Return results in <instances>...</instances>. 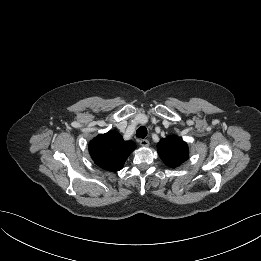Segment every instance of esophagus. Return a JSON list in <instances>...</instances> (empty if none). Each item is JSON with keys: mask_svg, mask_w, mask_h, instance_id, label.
I'll list each match as a JSON object with an SVG mask.
<instances>
[{"mask_svg": "<svg viewBox=\"0 0 261 261\" xmlns=\"http://www.w3.org/2000/svg\"><path fill=\"white\" fill-rule=\"evenodd\" d=\"M139 142V145L142 146V147H147L149 146V141L146 140V139H141L138 141Z\"/></svg>", "mask_w": 261, "mask_h": 261, "instance_id": "esophagus-1", "label": "esophagus"}]
</instances>
